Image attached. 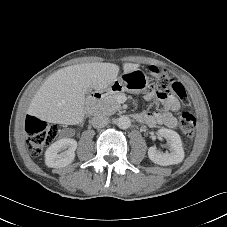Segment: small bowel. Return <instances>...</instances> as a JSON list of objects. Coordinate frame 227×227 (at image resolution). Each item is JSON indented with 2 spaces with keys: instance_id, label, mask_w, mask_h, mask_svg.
<instances>
[{
  "instance_id": "small-bowel-1",
  "label": "small bowel",
  "mask_w": 227,
  "mask_h": 227,
  "mask_svg": "<svg viewBox=\"0 0 227 227\" xmlns=\"http://www.w3.org/2000/svg\"><path fill=\"white\" fill-rule=\"evenodd\" d=\"M145 99L147 101L155 100L156 102H161L163 110L141 113L140 122L149 126L165 125L169 128L177 126V120L173 113L180 109V103L171 90L156 89L154 92L150 91L146 93Z\"/></svg>"
}]
</instances>
